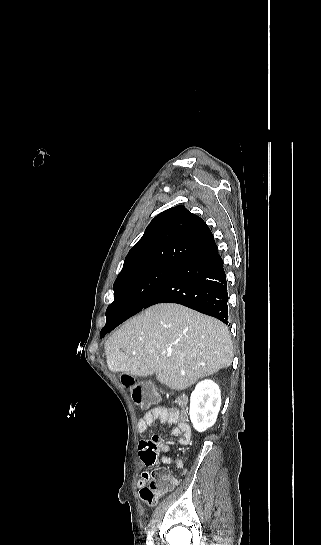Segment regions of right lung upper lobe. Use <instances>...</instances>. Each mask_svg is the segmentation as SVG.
Here are the masks:
<instances>
[{
	"mask_svg": "<svg viewBox=\"0 0 321 545\" xmlns=\"http://www.w3.org/2000/svg\"><path fill=\"white\" fill-rule=\"evenodd\" d=\"M206 223L184 206L158 214L129 251L121 273L152 265L181 266L213 241Z\"/></svg>",
	"mask_w": 321,
	"mask_h": 545,
	"instance_id": "1",
	"label": "right lung upper lobe"
}]
</instances>
